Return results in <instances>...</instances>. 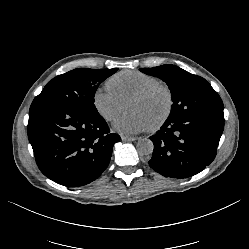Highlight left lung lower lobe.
<instances>
[{
    "label": "left lung lower lobe",
    "mask_w": 249,
    "mask_h": 249,
    "mask_svg": "<svg viewBox=\"0 0 249 249\" xmlns=\"http://www.w3.org/2000/svg\"><path fill=\"white\" fill-rule=\"evenodd\" d=\"M223 128V110L167 119L150 137L154 144L150 167L171 178H187L201 172L214 160Z\"/></svg>",
    "instance_id": "0a47b994"
}]
</instances>
